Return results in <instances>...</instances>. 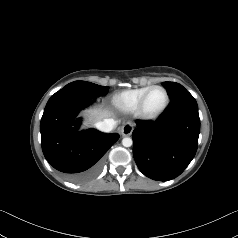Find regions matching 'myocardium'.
Wrapping results in <instances>:
<instances>
[{
  "mask_svg": "<svg viewBox=\"0 0 238 238\" xmlns=\"http://www.w3.org/2000/svg\"><path fill=\"white\" fill-rule=\"evenodd\" d=\"M155 89H161L164 92L165 102H164L163 106L158 111L150 113L146 110V107H145L146 101H147L149 94ZM169 101H170V98H169V94H168V91L166 90V88H164L163 86H160V85L151 86L143 94V96L141 97V99L139 101L138 107L136 109L137 115L144 120H155L158 117H160L164 113V111L167 109V107L169 105Z\"/></svg>",
  "mask_w": 238,
  "mask_h": 238,
  "instance_id": "obj_1",
  "label": "myocardium"
}]
</instances>
